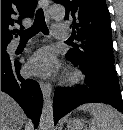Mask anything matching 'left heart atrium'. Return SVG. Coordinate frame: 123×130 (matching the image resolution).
Wrapping results in <instances>:
<instances>
[{"instance_id": "39dd6f15", "label": "left heart atrium", "mask_w": 123, "mask_h": 130, "mask_svg": "<svg viewBox=\"0 0 123 130\" xmlns=\"http://www.w3.org/2000/svg\"><path fill=\"white\" fill-rule=\"evenodd\" d=\"M56 67L57 59L54 53L48 48H43L36 52L27 64V68L31 73L42 76L52 74Z\"/></svg>"}]
</instances>
